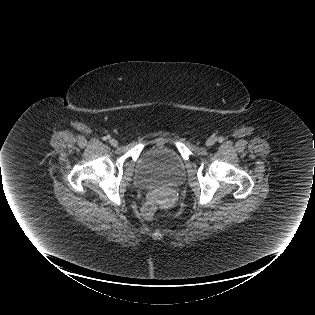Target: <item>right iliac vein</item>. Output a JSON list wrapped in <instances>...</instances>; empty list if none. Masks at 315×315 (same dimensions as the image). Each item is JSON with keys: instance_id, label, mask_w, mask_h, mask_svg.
I'll list each match as a JSON object with an SVG mask.
<instances>
[{"instance_id": "obj_1", "label": "right iliac vein", "mask_w": 315, "mask_h": 315, "mask_svg": "<svg viewBox=\"0 0 315 315\" xmlns=\"http://www.w3.org/2000/svg\"><path fill=\"white\" fill-rule=\"evenodd\" d=\"M109 143L112 145V146H117L118 145V141L116 139H110L109 140Z\"/></svg>"}]
</instances>
